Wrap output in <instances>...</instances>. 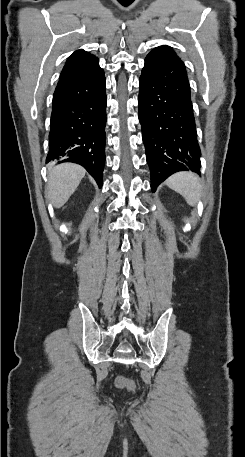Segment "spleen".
Returning <instances> with one entry per match:
<instances>
[{
	"mask_svg": "<svg viewBox=\"0 0 245 457\" xmlns=\"http://www.w3.org/2000/svg\"><path fill=\"white\" fill-rule=\"evenodd\" d=\"M166 184L176 192H180L191 206H196L202 196V184L194 172H188V170L175 172L167 178Z\"/></svg>",
	"mask_w": 245,
	"mask_h": 457,
	"instance_id": "1",
	"label": "spleen"
}]
</instances>
